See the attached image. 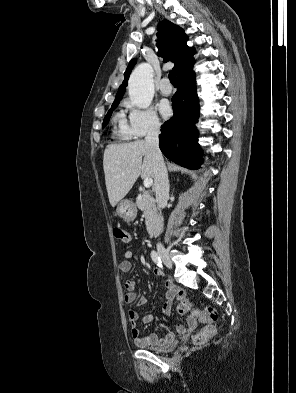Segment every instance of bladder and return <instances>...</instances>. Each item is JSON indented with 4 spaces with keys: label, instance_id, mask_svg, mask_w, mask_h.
Returning <instances> with one entry per match:
<instances>
[{
    "label": "bladder",
    "instance_id": "31cf9c89",
    "mask_svg": "<svg viewBox=\"0 0 296 393\" xmlns=\"http://www.w3.org/2000/svg\"><path fill=\"white\" fill-rule=\"evenodd\" d=\"M176 344L177 343L175 341H172L162 347L144 346V348L148 351H151V352L164 353V352H169V351L175 349Z\"/></svg>",
    "mask_w": 296,
    "mask_h": 393
}]
</instances>
